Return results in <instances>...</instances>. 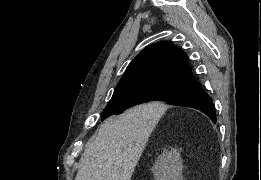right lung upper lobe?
I'll return each mask as SVG.
<instances>
[{"instance_id":"obj_1","label":"right lung upper lobe","mask_w":261,"mask_h":180,"mask_svg":"<svg viewBox=\"0 0 261 180\" xmlns=\"http://www.w3.org/2000/svg\"><path fill=\"white\" fill-rule=\"evenodd\" d=\"M173 80L197 82L187 55L171 42L160 41L147 46L133 59L115 90Z\"/></svg>"}]
</instances>
